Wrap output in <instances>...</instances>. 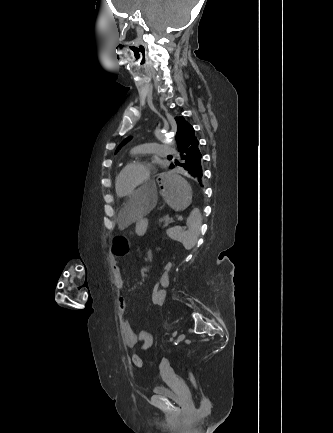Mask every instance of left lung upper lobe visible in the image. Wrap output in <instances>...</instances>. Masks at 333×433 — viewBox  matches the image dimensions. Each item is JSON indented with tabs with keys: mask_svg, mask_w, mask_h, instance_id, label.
Returning a JSON list of instances; mask_svg holds the SVG:
<instances>
[{
	"mask_svg": "<svg viewBox=\"0 0 333 433\" xmlns=\"http://www.w3.org/2000/svg\"><path fill=\"white\" fill-rule=\"evenodd\" d=\"M177 122V133H176V142L178 145V152L187 148L191 143L196 140L194 135L193 127L184 120L183 117H176ZM130 138L126 139L118 148L117 151L127 142ZM116 151V152H117Z\"/></svg>",
	"mask_w": 333,
	"mask_h": 433,
	"instance_id": "left-lung-upper-lobe-1",
	"label": "left lung upper lobe"
}]
</instances>
